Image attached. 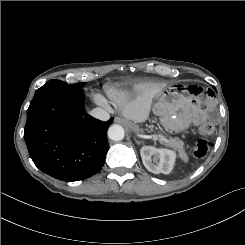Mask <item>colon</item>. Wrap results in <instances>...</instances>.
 Wrapping results in <instances>:
<instances>
[{"label":"colon","mask_w":245,"mask_h":245,"mask_svg":"<svg viewBox=\"0 0 245 245\" xmlns=\"http://www.w3.org/2000/svg\"><path fill=\"white\" fill-rule=\"evenodd\" d=\"M215 131V127L210 122H204L200 127V133L203 136L212 135ZM210 148V142L205 137L199 138L196 140L194 147H193V153L198 158H203L206 156L208 150Z\"/></svg>","instance_id":"5ec220e1"}]
</instances>
